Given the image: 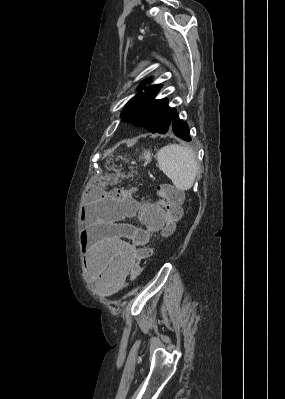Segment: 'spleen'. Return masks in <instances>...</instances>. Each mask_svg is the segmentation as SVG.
I'll return each mask as SVG.
<instances>
[{
	"label": "spleen",
	"mask_w": 285,
	"mask_h": 399,
	"mask_svg": "<svg viewBox=\"0 0 285 399\" xmlns=\"http://www.w3.org/2000/svg\"><path fill=\"white\" fill-rule=\"evenodd\" d=\"M159 168L179 190H189L195 181L198 162L195 153L188 147L170 144L157 153Z\"/></svg>",
	"instance_id": "obj_1"
}]
</instances>
